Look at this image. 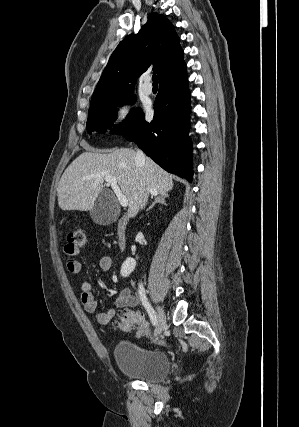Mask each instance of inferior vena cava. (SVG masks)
<instances>
[{"label":"inferior vena cava","mask_w":299,"mask_h":427,"mask_svg":"<svg viewBox=\"0 0 299 427\" xmlns=\"http://www.w3.org/2000/svg\"><path fill=\"white\" fill-rule=\"evenodd\" d=\"M137 158L139 160H144V158H145L144 153L141 150H139V149L137 150ZM147 201H148V196L146 195L144 197L143 203L141 204V208H143L145 206V204H146Z\"/></svg>","instance_id":"1"}]
</instances>
